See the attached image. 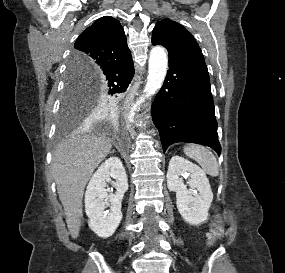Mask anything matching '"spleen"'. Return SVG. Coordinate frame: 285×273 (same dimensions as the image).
<instances>
[{
  "instance_id": "obj_1",
  "label": "spleen",
  "mask_w": 285,
  "mask_h": 273,
  "mask_svg": "<svg viewBox=\"0 0 285 273\" xmlns=\"http://www.w3.org/2000/svg\"><path fill=\"white\" fill-rule=\"evenodd\" d=\"M184 153L197 161L207 174L213 177L218 176V163L211 151L201 145L191 144L184 148Z\"/></svg>"
}]
</instances>
